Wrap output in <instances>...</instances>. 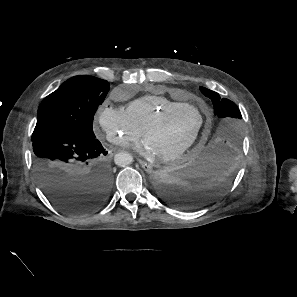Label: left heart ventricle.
<instances>
[{
  "label": "left heart ventricle",
  "instance_id": "obj_1",
  "mask_svg": "<svg viewBox=\"0 0 297 297\" xmlns=\"http://www.w3.org/2000/svg\"><path fill=\"white\" fill-rule=\"evenodd\" d=\"M199 121V114L194 109H183L152 129L148 133L146 141L158 156L173 152L192 137Z\"/></svg>",
  "mask_w": 297,
  "mask_h": 297
}]
</instances>
